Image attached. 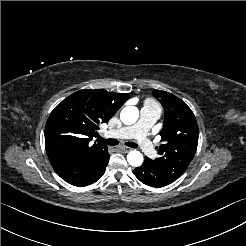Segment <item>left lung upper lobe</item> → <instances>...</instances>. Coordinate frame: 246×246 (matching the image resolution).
<instances>
[{"mask_svg":"<svg viewBox=\"0 0 246 246\" xmlns=\"http://www.w3.org/2000/svg\"><path fill=\"white\" fill-rule=\"evenodd\" d=\"M154 97L162 104L165 112L159 158L155 164L175 180L186 170L193 159L198 145V126L195 116L185 102L171 93L154 90Z\"/></svg>","mask_w":246,"mask_h":246,"instance_id":"1","label":"left lung upper lobe"}]
</instances>
